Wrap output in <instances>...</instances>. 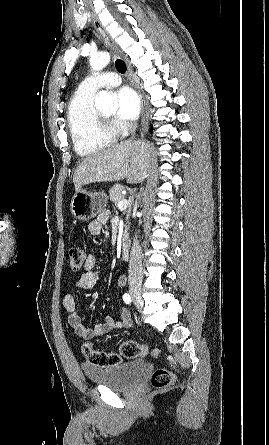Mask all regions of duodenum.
<instances>
[{"mask_svg":"<svg viewBox=\"0 0 269 445\" xmlns=\"http://www.w3.org/2000/svg\"><path fill=\"white\" fill-rule=\"evenodd\" d=\"M121 257L123 259H128V257H129V244L127 241L123 242V244H122Z\"/></svg>","mask_w":269,"mask_h":445,"instance_id":"410a0bca","label":"duodenum"}]
</instances>
